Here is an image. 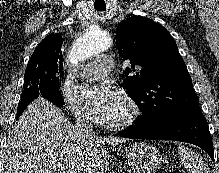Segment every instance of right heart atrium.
<instances>
[{"instance_id": "right-heart-atrium-1", "label": "right heart atrium", "mask_w": 219, "mask_h": 173, "mask_svg": "<svg viewBox=\"0 0 219 173\" xmlns=\"http://www.w3.org/2000/svg\"><path fill=\"white\" fill-rule=\"evenodd\" d=\"M61 98L64 105L78 122L84 124H93L96 122L94 111L76 93L70 90H64Z\"/></svg>"}]
</instances>
